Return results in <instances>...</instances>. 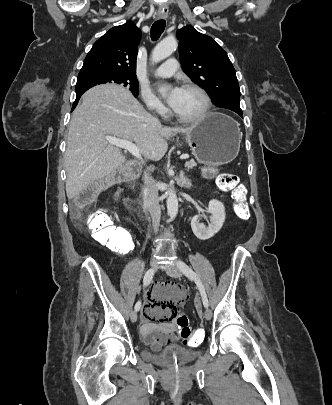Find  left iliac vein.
I'll list each match as a JSON object with an SVG mask.
<instances>
[{"label":"left iliac vein","mask_w":332,"mask_h":405,"mask_svg":"<svg viewBox=\"0 0 332 405\" xmlns=\"http://www.w3.org/2000/svg\"><path fill=\"white\" fill-rule=\"evenodd\" d=\"M165 271L169 276L174 277V278H179L181 276V271L178 268V266H176V265H169V266L165 267ZM204 318L206 320H210L212 318V312L210 309H208V308L205 309Z\"/></svg>","instance_id":"left-iliac-vein-1"}]
</instances>
